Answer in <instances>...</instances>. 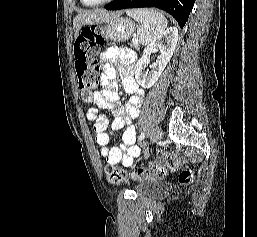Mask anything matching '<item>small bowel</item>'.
Wrapping results in <instances>:
<instances>
[{
  "instance_id": "1",
  "label": "small bowel",
  "mask_w": 257,
  "mask_h": 237,
  "mask_svg": "<svg viewBox=\"0 0 257 237\" xmlns=\"http://www.w3.org/2000/svg\"><path fill=\"white\" fill-rule=\"evenodd\" d=\"M134 59L135 54L132 51L117 47H109L100 55V62L103 64L101 78L103 89L93 94L92 101L95 107L87 111V119L93 123L95 140L100 146L101 155L108 163L121 162L125 167L132 166L134 159L140 155V148L135 144L134 120L140 112L143 92L133 76ZM117 73L122 77L124 90L131 95L125 105L118 97ZM99 109L114 115L110 131H108V120L99 112ZM119 130H123L121 139L115 146H111V137Z\"/></svg>"
}]
</instances>
